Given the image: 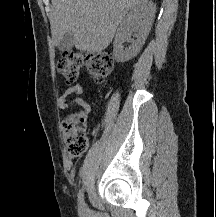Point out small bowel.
<instances>
[{
	"label": "small bowel",
	"instance_id": "small-bowel-1",
	"mask_svg": "<svg viewBox=\"0 0 216 217\" xmlns=\"http://www.w3.org/2000/svg\"><path fill=\"white\" fill-rule=\"evenodd\" d=\"M85 92L84 87L81 84H76L70 86L65 90V92L60 96L58 100V106L61 110L68 109L71 105H79L85 111L90 112V106L83 101L77 95L83 94Z\"/></svg>",
	"mask_w": 216,
	"mask_h": 217
}]
</instances>
